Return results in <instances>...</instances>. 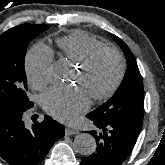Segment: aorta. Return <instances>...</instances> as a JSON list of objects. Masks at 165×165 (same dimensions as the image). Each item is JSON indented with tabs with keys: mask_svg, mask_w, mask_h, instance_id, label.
Here are the masks:
<instances>
[{
	"mask_svg": "<svg viewBox=\"0 0 165 165\" xmlns=\"http://www.w3.org/2000/svg\"><path fill=\"white\" fill-rule=\"evenodd\" d=\"M64 67L61 64H55L50 70V75L55 81H59L62 78ZM96 140L88 133H80L76 135L74 139L75 150L84 156L93 154L96 150Z\"/></svg>",
	"mask_w": 165,
	"mask_h": 165,
	"instance_id": "obj_1",
	"label": "aorta"
}]
</instances>
